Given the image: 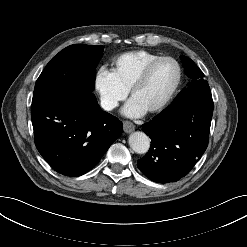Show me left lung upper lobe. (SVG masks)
I'll use <instances>...</instances> for the list:
<instances>
[{
    "instance_id": "5c2ea615",
    "label": "left lung upper lobe",
    "mask_w": 247,
    "mask_h": 247,
    "mask_svg": "<svg viewBox=\"0 0 247 247\" xmlns=\"http://www.w3.org/2000/svg\"><path fill=\"white\" fill-rule=\"evenodd\" d=\"M181 60L184 66V71L186 75L192 79L190 83H188V87L182 90L173 102L170 105H173L185 97L189 96L192 92L197 89H200L203 86H208V82L203 79V72L195 65V63L186 56H181Z\"/></svg>"
}]
</instances>
